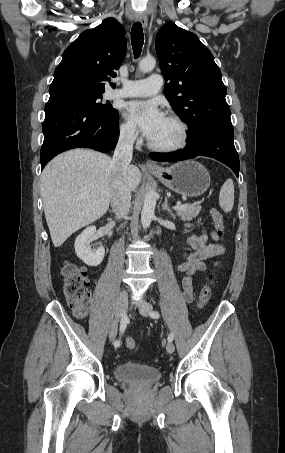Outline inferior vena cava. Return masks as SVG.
I'll use <instances>...</instances> for the list:
<instances>
[{
  "label": "inferior vena cava",
  "mask_w": 285,
  "mask_h": 453,
  "mask_svg": "<svg viewBox=\"0 0 285 453\" xmlns=\"http://www.w3.org/2000/svg\"><path fill=\"white\" fill-rule=\"evenodd\" d=\"M135 139L133 128L123 132L119 137L111 162L115 168V176L111 185L110 204L117 218L127 215L131 205V190L126 182L125 174L132 160Z\"/></svg>",
  "instance_id": "inferior-vena-cava-1"
}]
</instances>
